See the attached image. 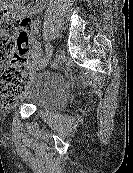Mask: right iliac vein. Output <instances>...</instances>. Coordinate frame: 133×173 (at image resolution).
I'll return each mask as SVG.
<instances>
[{"instance_id":"obj_1","label":"right iliac vein","mask_w":133,"mask_h":173,"mask_svg":"<svg viewBox=\"0 0 133 173\" xmlns=\"http://www.w3.org/2000/svg\"><path fill=\"white\" fill-rule=\"evenodd\" d=\"M51 56H52V53L46 55L43 59H41V61H39V62L36 64V70H41V69H43V68L48 64V62H49Z\"/></svg>"}]
</instances>
